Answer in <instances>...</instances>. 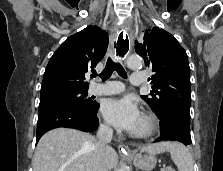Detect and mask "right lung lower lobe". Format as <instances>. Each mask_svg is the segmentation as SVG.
<instances>
[{"label": "right lung lower lobe", "instance_id": "98d812e1", "mask_svg": "<svg viewBox=\"0 0 223 171\" xmlns=\"http://www.w3.org/2000/svg\"><path fill=\"white\" fill-rule=\"evenodd\" d=\"M98 106L94 110H86L75 105H54L39 111L36 143L47 131L59 128H74L85 132H93L99 125Z\"/></svg>", "mask_w": 223, "mask_h": 171}]
</instances>
